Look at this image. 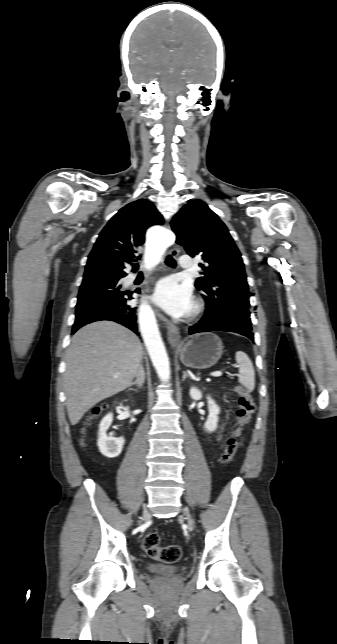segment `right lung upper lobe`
I'll return each mask as SVG.
<instances>
[{"instance_id": "cb5924a9", "label": "right lung upper lobe", "mask_w": 337, "mask_h": 644, "mask_svg": "<svg viewBox=\"0 0 337 644\" xmlns=\"http://www.w3.org/2000/svg\"><path fill=\"white\" fill-rule=\"evenodd\" d=\"M163 217L152 202L139 199L129 203L115 214L104 229L88 256L83 281L96 278H122L126 264H133L140 256L137 249L145 241L146 229L162 225Z\"/></svg>"}]
</instances>
